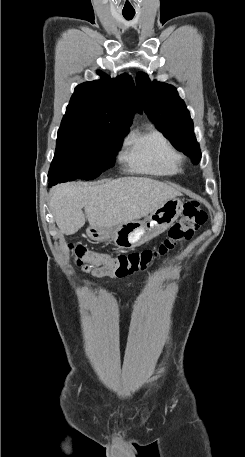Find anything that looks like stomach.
<instances>
[{
	"instance_id": "stomach-1",
	"label": "stomach",
	"mask_w": 245,
	"mask_h": 457,
	"mask_svg": "<svg viewBox=\"0 0 245 457\" xmlns=\"http://www.w3.org/2000/svg\"><path fill=\"white\" fill-rule=\"evenodd\" d=\"M183 210V202L180 198H167L159 204L155 210L150 212L144 220H129L120 222L114 226H88L86 235L92 241H108L113 239L116 247L133 251L136 247H141L154 237H159L165 233L169 226L177 220Z\"/></svg>"
}]
</instances>
